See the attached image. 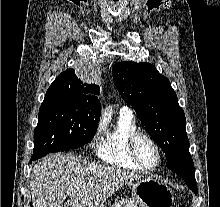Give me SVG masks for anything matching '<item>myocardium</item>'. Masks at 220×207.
I'll use <instances>...</instances> for the list:
<instances>
[{
    "mask_svg": "<svg viewBox=\"0 0 220 207\" xmlns=\"http://www.w3.org/2000/svg\"><path fill=\"white\" fill-rule=\"evenodd\" d=\"M141 138H145L148 140L151 145L154 147L157 155L156 162L153 165H146L144 162L141 160L139 154H138V141ZM128 148H129V153L133 161L138 164L143 170H152L155 169L161 161V149L155 138L149 134L148 132L137 130L134 133L131 134L129 141H128Z\"/></svg>",
    "mask_w": 220,
    "mask_h": 207,
    "instance_id": "obj_1",
    "label": "myocardium"
}]
</instances>
